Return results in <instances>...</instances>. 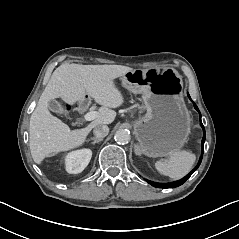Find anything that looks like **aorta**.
I'll return each mask as SVG.
<instances>
[{"label":"aorta","instance_id":"1","mask_svg":"<svg viewBox=\"0 0 239 239\" xmlns=\"http://www.w3.org/2000/svg\"><path fill=\"white\" fill-rule=\"evenodd\" d=\"M114 139L117 143L127 144L130 142V132L126 129H118L114 135Z\"/></svg>","mask_w":239,"mask_h":239}]
</instances>
